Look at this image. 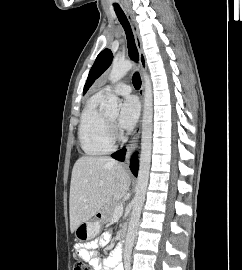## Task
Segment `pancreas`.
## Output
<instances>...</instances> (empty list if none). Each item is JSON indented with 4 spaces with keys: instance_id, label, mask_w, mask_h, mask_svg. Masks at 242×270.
Segmentation results:
<instances>
[{
    "instance_id": "pancreas-1",
    "label": "pancreas",
    "mask_w": 242,
    "mask_h": 270,
    "mask_svg": "<svg viewBox=\"0 0 242 270\" xmlns=\"http://www.w3.org/2000/svg\"><path fill=\"white\" fill-rule=\"evenodd\" d=\"M121 204L120 201H111L103 207L104 221L110 222L114 216V209L116 205Z\"/></svg>"
}]
</instances>
